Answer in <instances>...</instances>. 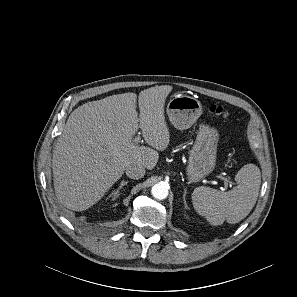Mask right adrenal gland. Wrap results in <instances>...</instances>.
Listing matches in <instances>:
<instances>
[{"label": "right adrenal gland", "mask_w": 297, "mask_h": 297, "mask_svg": "<svg viewBox=\"0 0 297 297\" xmlns=\"http://www.w3.org/2000/svg\"><path fill=\"white\" fill-rule=\"evenodd\" d=\"M128 181H122L119 185V187L113 192V199H115L116 197H118L120 195V190L122 189L123 186L127 185Z\"/></svg>", "instance_id": "obj_1"}]
</instances>
